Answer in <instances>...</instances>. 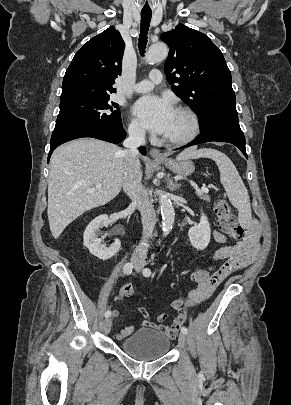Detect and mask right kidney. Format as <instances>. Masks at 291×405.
<instances>
[{"mask_svg":"<svg viewBox=\"0 0 291 405\" xmlns=\"http://www.w3.org/2000/svg\"><path fill=\"white\" fill-rule=\"evenodd\" d=\"M109 225L108 215H100L93 219L85 229L83 241L84 245L89 249L90 253L101 260H107L113 257L120 249L121 242L115 239L110 247H105L101 244V240L97 238V232L102 227Z\"/></svg>","mask_w":291,"mask_h":405,"instance_id":"ca27d5eb","label":"right kidney"}]
</instances>
